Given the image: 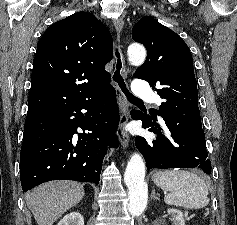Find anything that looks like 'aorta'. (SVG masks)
<instances>
[{"instance_id":"obj_1","label":"aorta","mask_w":237,"mask_h":225,"mask_svg":"<svg viewBox=\"0 0 237 225\" xmlns=\"http://www.w3.org/2000/svg\"><path fill=\"white\" fill-rule=\"evenodd\" d=\"M128 58L133 64H142L146 58V50L139 44L128 47ZM145 178V162L139 153H134L127 163L124 182L129 190L128 209L132 215H139L147 204L148 187Z\"/></svg>"}]
</instances>
